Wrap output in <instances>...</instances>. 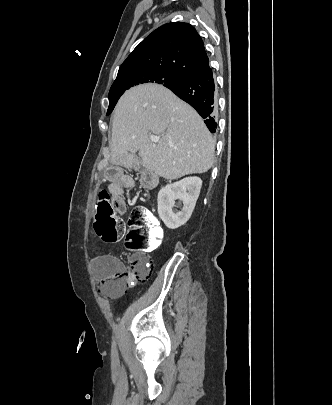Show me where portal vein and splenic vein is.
Wrapping results in <instances>:
<instances>
[{"mask_svg": "<svg viewBox=\"0 0 332 405\" xmlns=\"http://www.w3.org/2000/svg\"><path fill=\"white\" fill-rule=\"evenodd\" d=\"M150 139H151V141H152L153 143H157V142L159 141V137H158V136H154V135H151V136H150Z\"/></svg>", "mask_w": 332, "mask_h": 405, "instance_id": "portal-vein-and-splenic-vein-1", "label": "portal vein and splenic vein"}]
</instances>
